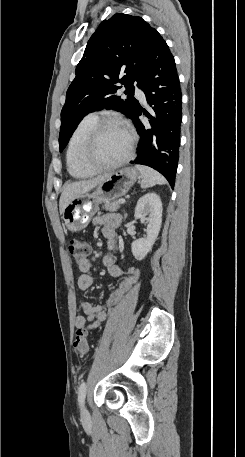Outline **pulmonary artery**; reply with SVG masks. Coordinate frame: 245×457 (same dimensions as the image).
<instances>
[{
	"label": "pulmonary artery",
	"instance_id": "1",
	"mask_svg": "<svg viewBox=\"0 0 245 457\" xmlns=\"http://www.w3.org/2000/svg\"><path fill=\"white\" fill-rule=\"evenodd\" d=\"M132 95L136 102H145L147 99L143 89H134ZM143 108H148V103H143Z\"/></svg>",
	"mask_w": 245,
	"mask_h": 457
}]
</instances>
